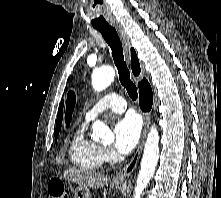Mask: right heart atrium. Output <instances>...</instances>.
I'll return each instance as SVG.
<instances>
[{
  "mask_svg": "<svg viewBox=\"0 0 221 198\" xmlns=\"http://www.w3.org/2000/svg\"><path fill=\"white\" fill-rule=\"evenodd\" d=\"M101 150H102V156H103L104 162H110L114 160L115 154L111 148L102 147Z\"/></svg>",
  "mask_w": 221,
  "mask_h": 198,
  "instance_id": "obj_1",
  "label": "right heart atrium"
}]
</instances>
